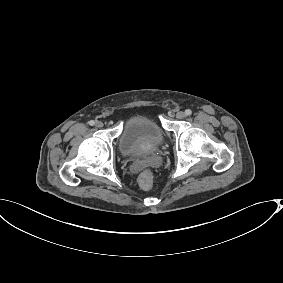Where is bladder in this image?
I'll use <instances>...</instances> for the list:
<instances>
[{"label":"bladder","instance_id":"1","mask_svg":"<svg viewBox=\"0 0 283 283\" xmlns=\"http://www.w3.org/2000/svg\"><path fill=\"white\" fill-rule=\"evenodd\" d=\"M162 126L149 115L133 114L123 123V133L118 143L124 155H139L143 151L155 152L165 142Z\"/></svg>","mask_w":283,"mask_h":283}]
</instances>
